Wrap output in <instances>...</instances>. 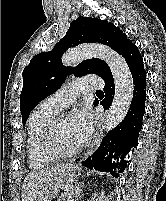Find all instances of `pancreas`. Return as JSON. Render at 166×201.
<instances>
[{"mask_svg":"<svg viewBox=\"0 0 166 201\" xmlns=\"http://www.w3.org/2000/svg\"><path fill=\"white\" fill-rule=\"evenodd\" d=\"M72 195H73L72 192L69 191L59 201H73L71 200Z\"/></svg>","mask_w":166,"mask_h":201,"instance_id":"pancreas-1","label":"pancreas"}]
</instances>
